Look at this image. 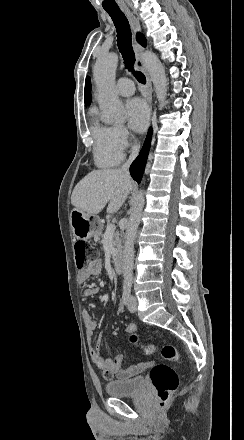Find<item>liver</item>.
<instances>
[{
    "mask_svg": "<svg viewBox=\"0 0 244 440\" xmlns=\"http://www.w3.org/2000/svg\"><path fill=\"white\" fill-rule=\"evenodd\" d=\"M132 190L129 176L121 170H94L75 186L71 204L90 216L99 214L108 204L107 214L122 208Z\"/></svg>",
    "mask_w": 244,
    "mask_h": 440,
    "instance_id": "liver-1",
    "label": "liver"
}]
</instances>
